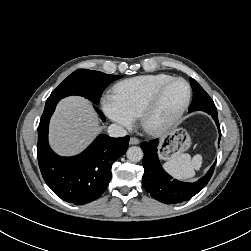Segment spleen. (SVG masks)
Listing matches in <instances>:
<instances>
[{
  "label": "spleen",
  "mask_w": 251,
  "mask_h": 251,
  "mask_svg": "<svg viewBox=\"0 0 251 251\" xmlns=\"http://www.w3.org/2000/svg\"><path fill=\"white\" fill-rule=\"evenodd\" d=\"M202 165V156L197 154L191 158L189 154L183 153L172 157L164 163L167 172L178 179H189L195 175Z\"/></svg>",
  "instance_id": "spleen-1"
}]
</instances>
